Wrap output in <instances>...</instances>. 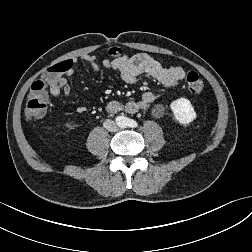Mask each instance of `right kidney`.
<instances>
[{
    "label": "right kidney",
    "mask_w": 252,
    "mask_h": 252,
    "mask_svg": "<svg viewBox=\"0 0 252 252\" xmlns=\"http://www.w3.org/2000/svg\"><path fill=\"white\" fill-rule=\"evenodd\" d=\"M66 128H67V130H70L72 128V124L71 123H67L66 124Z\"/></svg>",
    "instance_id": "ca27d5eb"
}]
</instances>
